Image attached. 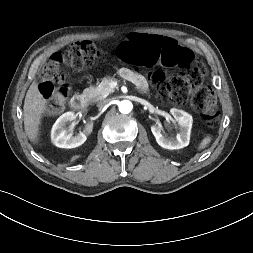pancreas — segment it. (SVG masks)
<instances>
[{"label":"pancreas","instance_id":"cf45deb5","mask_svg":"<svg viewBox=\"0 0 253 253\" xmlns=\"http://www.w3.org/2000/svg\"><path fill=\"white\" fill-rule=\"evenodd\" d=\"M116 81L113 77H105L97 86H90L84 90V94L93 102L106 98L114 89L110 87V83Z\"/></svg>","mask_w":253,"mask_h":253}]
</instances>
